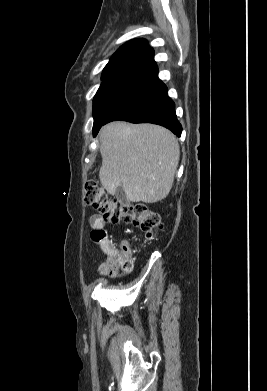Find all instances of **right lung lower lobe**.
Instances as JSON below:
<instances>
[{
	"label": "right lung lower lobe",
	"instance_id": "obj_1",
	"mask_svg": "<svg viewBox=\"0 0 267 391\" xmlns=\"http://www.w3.org/2000/svg\"><path fill=\"white\" fill-rule=\"evenodd\" d=\"M114 120L158 124L181 136L182 126L177 120L174 102L167 95L166 85L157 76L116 108L102 125Z\"/></svg>",
	"mask_w": 267,
	"mask_h": 391
}]
</instances>
